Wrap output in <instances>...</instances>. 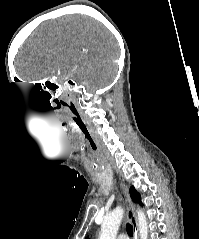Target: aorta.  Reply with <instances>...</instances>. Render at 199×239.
<instances>
[{
  "label": "aorta",
  "mask_w": 199,
  "mask_h": 239,
  "mask_svg": "<svg viewBox=\"0 0 199 239\" xmlns=\"http://www.w3.org/2000/svg\"><path fill=\"white\" fill-rule=\"evenodd\" d=\"M138 230L140 239L148 237V223L143 211H137ZM123 217V209L116 207L111 213L105 216L101 225V234L98 239H116L119 226Z\"/></svg>",
  "instance_id": "762f6f07"
}]
</instances>
